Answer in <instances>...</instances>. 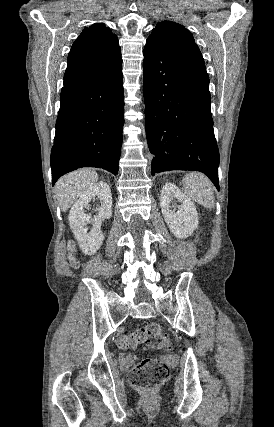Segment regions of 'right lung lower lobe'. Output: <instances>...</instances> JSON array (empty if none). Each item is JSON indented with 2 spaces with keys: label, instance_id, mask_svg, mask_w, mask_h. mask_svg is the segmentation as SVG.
Listing matches in <instances>:
<instances>
[{
  "label": "right lung lower lobe",
  "instance_id": "98d812e1",
  "mask_svg": "<svg viewBox=\"0 0 274 427\" xmlns=\"http://www.w3.org/2000/svg\"><path fill=\"white\" fill-rule=\"evenodd\" d=\"M122 62L92 79L64 86L51 151L52 184L80 167L118 173L124 124Z\"/></svg>",
  "mask_w": 274,
  "mask_h": 427
}]
</instances>
